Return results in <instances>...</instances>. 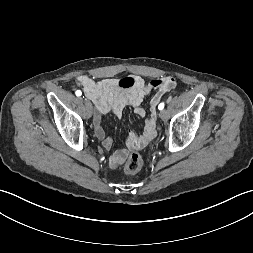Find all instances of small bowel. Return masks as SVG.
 I'll use <instances>...</instances> for the list:
<instances>
[{
    "label": "small bowel",
    "instance_id": "small-bowel-1",
    "mask_svg": "<svg viewBox=\"0 0 253 253\" xmlns=\"http://www.w3.org/2000/svg\"><path fill=\"white\" fill-rule=\"evenodd\" d=\"M76 82L83 88L85 95L94 103V132L107 150L112 148L113 140L105 133L102 126V115L113 113L120 117L126 107H132L137 116L144 117L146 110L143 108L142 102L148 94L155 92L143 132L130 131L128 133L125 147L115 151L109 158L111 168L120 166L131 150L145 147L155 137V105L166 92L176 86V80L171 76L160 77L146 82L140 76H130L122 80L105 78L95 81L86 75H80L77 77Z\"/></svg>",
    "mask_w": 253,
    "mask_h": 253
}]
</instances>
